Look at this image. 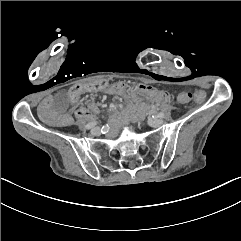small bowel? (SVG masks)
I'll use <instances>...</instances> for the list:
<instances>
[{
  "label": "small bowel",
  "instance_id": "c3829d8e",
  "mask_svg": "<svg viewBox=\"0 0 241 241\" xmlns=\"http://www.w3.org/2000/svg\"><path fill=\"white\" fill-rule=\"evenodd\" d=\"M107 83V90L105 91L111 95H123L124 91L129 89V84L127 82L122 83ZM134 95L137 98H142L147 102H168L171 99V92L168 89H151L150 87H145L143 84L134 85ZM96 93V92H95ZM52 107V99L49 96H42L37 104L36 122L40 126H53L58 123L56 115L53 112H49ZM90 112L88 111L87 118H92L93 114L96 112V107L94 104L90 105ZM74 118L72 116H67L61 121L63 126L72 123Z\"/></svg>",
  "mask_w": 241,
  "mask_h": 241
}]
</instances>
